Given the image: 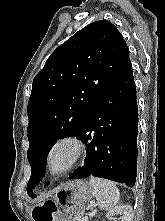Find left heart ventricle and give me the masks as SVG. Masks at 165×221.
<instances>
[{
  "mask_svg": "<svg viewBox=\"0 0 165 221\" xmlns=\"http://www.w3.org/2000/svg\"><path fill=\"white\" fill-rule=\"evenodd\" d=\"M73 157V148L64 144L58 146L51 154L50 163L54 170H62L68 166Z\"/></svg>",
  "mask_w": 165,
  "mask_h": 221,
  "instance_id": "obj_1",
  "label": "left heart ventricle"
}]
</instances>
